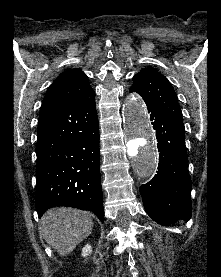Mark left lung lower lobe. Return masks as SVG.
Here are the masks:
<instances>
[{"mask_svg":"<svg viewBox=\"0 0 221 277\" xmlns=\"http://www.w3.org/2000/svg\"><path fill=\"white\" fill-rule=\"evenodd\" d=\"M133 92L132 89L129 90ZM158 141L157 174L141 185L140 194L147 214L157 223L170 224L192 214L191 177L187 171L185 129L176 124L153 102L144 99Z\"/></svg>","mask_w":221,"mask_h":277,"instance_id":"obj_1","label":"left lung lower lobe"}]
</instances>
